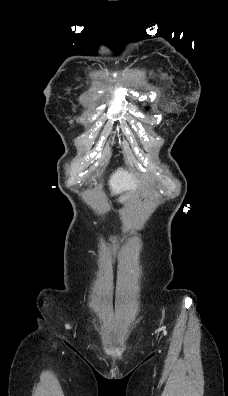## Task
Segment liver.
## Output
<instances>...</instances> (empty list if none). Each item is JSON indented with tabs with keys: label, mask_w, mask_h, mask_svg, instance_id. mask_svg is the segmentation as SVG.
Instances as JSON below:
<instances>
[{
	"label": "liver",
	"mask_w": 228,
	"mask_h": 396,
	"mask_svg": "<svg viewBox=\"0 0 228 396\" xmlns=\"http://www.w3.org/2000/svg\"><path fill=\"white\" fill-rule=\"evenodd\" d=\"M139 181L123 169H118L109 180L112 195L122 193L123 191L134 189Z\"/></svg>",
	"instance_id": "obj_1"
}]
</instances>
